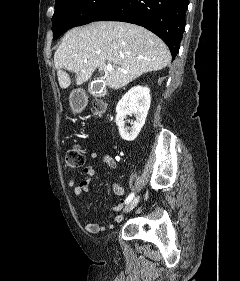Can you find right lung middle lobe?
<instances>
[{"label": "right lung middle lobe", "instance_id": "right-lung-middle-lobe-1", "mask_svg": "<svg viewBox=\"0 0 240 281\" xmlns=\"http://www.w3.org/2000/svg\"><path fill=\"white\" fill-rule=\"evenodd\" d=\"M117 0H56L52 17L53 40L68 29L91 23Z\"/></svg>", "mask_w": 240, "mask_h": 281}]
</instances>
